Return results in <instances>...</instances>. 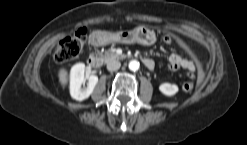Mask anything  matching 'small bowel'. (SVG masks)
Returning <instances> with one entry per match:
<instances>
[{
  "instance_id": "small-bowel-1",
  "label": "small bowel",
  "mask_w": 247,
  "mask_h": 145,
  "mask_svg": "<svg viewBox=\"0 0 247 145\" xmlns=\"http://www.w3.org/2000/svg\"><path fill=\"white\" fill-rule=\"evenodd\" d=\"M178 44L191 55V59L184 58L179 54L173 53L169 56V68L173 71L179 69L186 70L188 75L193 77L196 71H200L202 69V61L195 55L187 42L182 39H178Z\"/></svg>"
}]
</instances>
